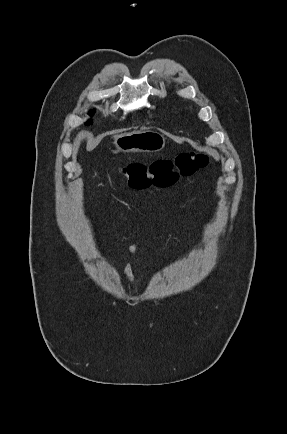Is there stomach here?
I'll list each match as a JSON object with an SVG mask.
<instances>
[{
    "label": "stomach",
    "instance_id": "obj_1",
    "mask_svg": "<svg viewBox=\"0 0 287 434\" xmlns=\"http://www.w3.org/2000/svg\"><path fill=\"white\" fill-rule=\"evenodd\" d=\"M113 144L117 151L130 152H158L166 144L165 137L153 130L119 133L113 136Z\"/></svg>",
    "mask_w": 287,
    "mask_h": 434
}]
</instances>
